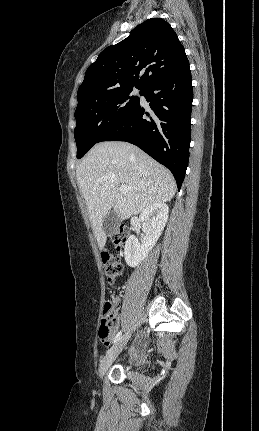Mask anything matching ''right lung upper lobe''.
Masks as SVG:
<instances>
[{"mask_svg":"<svg viewBox=\"0 0 259 431\" xmlns=\"http://www.w3.org/2000/svg\"><path fill=\"white\" fill-rule=\"evenodd\" d=\"M188 64L185 49L171 26L161 18L148 19L126 39L104 49L88 67L78 89V104L116 89H146Z\"/></svg>","mask_w":259,"mask_h":431,"instance_id":"obj_1","label":"right lung upper lobe"}]
</instances>
